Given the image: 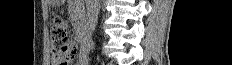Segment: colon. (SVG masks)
<instances>
[{
  "label": "colon",
  "instance_id": "5ec220e1",
  "mask_svg": "<svg viewBox=\"0 0 232 65\" xmlns=\"http://www.w3.org/2000/svg\"><path fill=\"white\" fill-rule=\"evenodd\" d=\"M51 44L54 62L58 65H69L77 56V47L68 38L67 24L57 19L51 31Z\"/></svg>",
  "mask_w": 232,
  "mask_h": 65
}]
</instances>
